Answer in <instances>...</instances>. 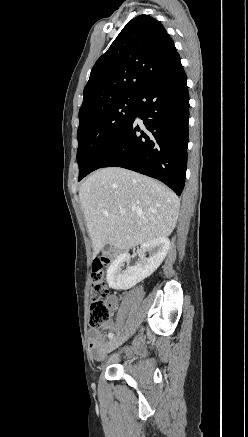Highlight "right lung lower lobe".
Masks as SVG:
<instances>
[{"label": "right lung lower lobe", "mask_w": 248, "mask_h": 437, "mask_svg": "<svg viewBox=\"0 0 248 437\" xmlns=\"http://www.w3.org/2000/svg\"><path fill=\"white\" fill-rule=\"evenodd\" d=\"M179 55L136 95L134 113L90 172L119 166L156 178L180 195L187 168L189 95Z\"/></svg>", "instance_id": "right-lung-lower-lobe-1"}]
</instances>
